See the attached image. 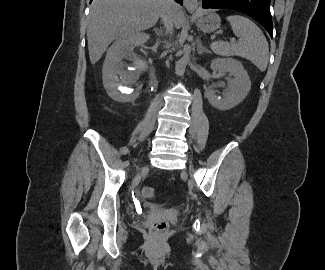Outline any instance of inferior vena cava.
<instances>
[{
  "label": "inferior vena cava",
  "mask_w": 325,
  "mask_h": 270,
  "mask_svg": "<svg viewBox=\"0 0 325 270\" xmlns=\"http://www.w3.org/2000/svg\"><path fill=\"white\" fill-rule=\"evenodd\" d=\"M174 4L173 0H163V11L161 13V18L163 20L164 26L166 28L167 33H173V20L170 15L169 9Z\"/></svg>",
  "instance_id": "obj_1"
}]
</instances>
